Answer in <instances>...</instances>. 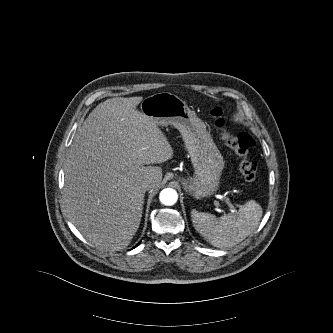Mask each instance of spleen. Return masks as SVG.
I'll return each mask as SVG.
<instances>
[{
  "mask_svg": "<svg viewBox=\"0 0 333 333\" xmlns=\"http://www.w3.org/2000/svg\"><path fill=\"white\" fill-rule=\"evenodd\" d=\"M263 211L254 200L241 205L236 213L220 218L209 213L191 211L195 230L215 247L234 246L243 241L258 226Z\"/></svg>",
  "mask_w": 333,
  "mask_h": 333,
  "instance_id": "3e777b00",
  "label": "spleen"
}]
</instances>
